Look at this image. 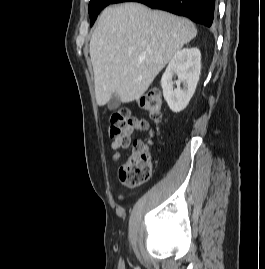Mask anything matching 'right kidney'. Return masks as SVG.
Segmentation results:
<instances>
[{
	"label": "right kidney",
	"mask_w": 265,
	"mask_h": 269,
	"mask_svg": "<svg viewBox=\"0 0 265 269\" xmlns=\"http://www.w3.org/2000/svg\"><path fill=\"white\" fill-rule=\"evenodd\" d=\"M200 71L201 53L198 48H184L169 62L161 86L164 99L173 112H180L188 105L199 81ZM174 76L178 77L176 81H173Z\"/></svg>",
	"instance_id": "right-kidney-1"
}]
</instances>
